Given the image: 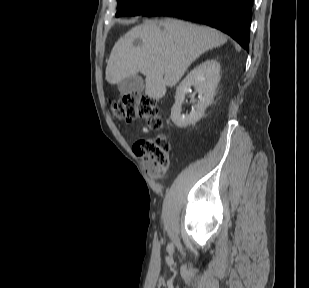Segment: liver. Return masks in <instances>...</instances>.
Masks as SVG:
<instances>
[{
  "label": "liver",
  "instance_id": "6515ba94",
  "mask_svg": "<svg viewBox=\"0 0 309 288\" xmlns=\"http://www.w3.org/2000/svg\"><path fill=\"white\" fill-rule=\"evenodd\" d=\"M136 41L140 44L135 45ZM226 42L223 33L210 27L176 19L145 21L115 43L106 80L115 85L140 72L146 77L145 94L159 100L198 57Z\"/></svg>",
  "mask_w": 309,
  "mask_h": 288
}]
</instances>
